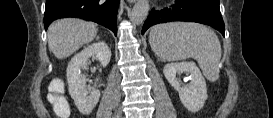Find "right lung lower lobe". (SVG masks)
<instances>
[{
    "label": "right lung lower lobe",
    "mask_w": 273,
    "mask_h": 118,
    "mask_svg": "<svg viewBox=\"0 0 273 118\" xmlns=\"http://www.w3.org/2000/svg\"><path fill=\"white\" fill-rule=\"evenodd\" d=\"M120 0H46L44 27L59 18L77 17L101 24L117 34Z\"/></svg>",
    "instance_id": "98d812e1"
}]
</instances>
